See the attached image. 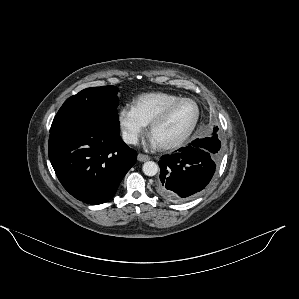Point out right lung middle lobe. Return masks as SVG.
<instances>
[{"label": "right lung middle lobe", "instance_id": "dd1d6c3e", "mask_svg": "<svg viewBox=\"0 0 299 299\" xmlns=\"http://www.w3.org/2000/svg\"><path fill=\"white\" fill-rule=\"evenodd\" d=\"M119 89L115 86L87 88L68 98L56 114L50 132L76 123H94L119 128Z\"/></svg>", "mask_w": 299, "mask_h": 299}]
</instances>
